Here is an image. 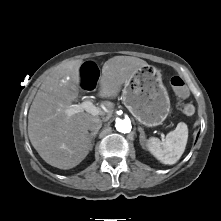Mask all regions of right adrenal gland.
I'll list each match as a JSON object with an SVG mask.
<instances>
[{"mask_svg":"<svg viewBox=\"0 0 221 221\" xmlns=\"http://www.w3.org/2000/svg\"><path fill=\"white\" fill-rule=\"evenodd\" d=\"M97 132H93L89 134V138L92 141V147L94 145V139L96 138Z\"/></svg>","mask_w":221,"mask_h":221,"instance_id":"right-adrenal-gland-1","label":"right adrenal gland"}]
</instances>
